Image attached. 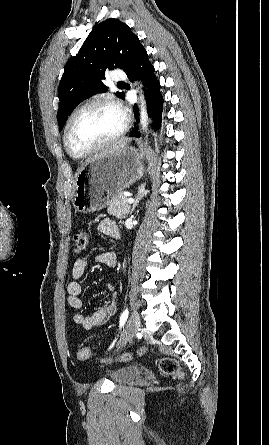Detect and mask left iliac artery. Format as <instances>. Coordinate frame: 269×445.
I'll list each match as a JSON object with an SVG mask.
<instances>
[{
  "label": "left iliac artery",
  "instance_id": "obj_1",
  "mask_svg": "<svg viewBox=\"0 0 269 445\" xmlns=\"http://www.w3.org/2000/svg\"><path fill=\"white\" fill-rule=\"evenodd\" d=\"M127 317H128V309H126L120 316V328L125 324ZM114 343L115 341L110 346V348L113 347Z\"/></svg>",
  "mask_w": 269,
  "mask_h": 445
}]
</instances>
